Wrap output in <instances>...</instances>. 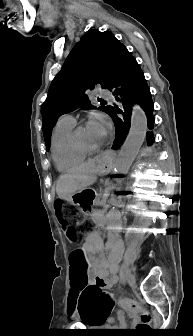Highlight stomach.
Returning a JSON list of instances; mask_svg holds the SVG:
<instances>
[{
	"label": "stomach",
	"mask_w": 193,
	"mask_h": 336,
	"mask_svg": "<svg viewBox=\"0 0 193 336\" xmlns=\"http://www.w3.org/2000/svg\"><path fill=\"white\" fill-rule=\"evenodd\" d=\"M112 161L113 156L111 155H105L100 158L98 165L102 174L108 173L110 171ZM94 198V193L85 188L72 194L70 200L74 205L79 206L84 214H87L89 212V207L95 200Z\"/></svg>",
	"instance_id": "obj_1"
}]
</instances>
